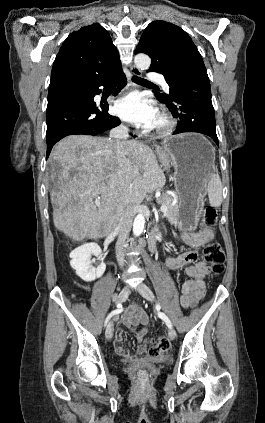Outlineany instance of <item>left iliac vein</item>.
I'll use <instances>...</instances> for the list:
<instances>
[{
    "label": "left iliac vein",
    "mask_w": 265,
    "mask_h": 423,
    "mask_svg": "<svg viewBox=\"0 0 265 423\" xmlns=\"http://www.w3.org/2000/svg\"><path fill=\"white\" fill-rule=\"evenodd\" d=\"M137 291L148 301L153 302L154 301V295L153 292L150 290V288L145 284H140V286L137 288ZM168 336L170 339H175L176 337V331L173 328H169L168 330Z\"/></svg>",
    "instance_id": "4c4485c4"
}]
</instances>
